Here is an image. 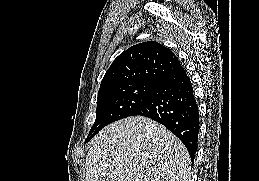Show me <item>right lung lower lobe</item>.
<instances>
[{
  "mask_svg": "<svg viewBox=\"0 0 259 181\" xmlns=\"http://www.w3.org/2000/svg\"><path fill=\"white\" fill-rule=\"evenodd\" d=\"M151 118L167 127L187 148L192 161L197 150L199 112L191 81L183 67L162 78L151 97L131 116Z\"/></svg>",
  "mask_w": 259,
  "mask_h": 181,
  "instance_id": "98d812e1",
  "label": "right lung lower lobe"
}]
</instances>
